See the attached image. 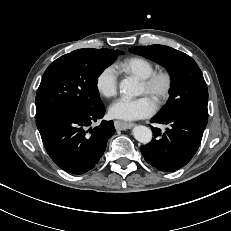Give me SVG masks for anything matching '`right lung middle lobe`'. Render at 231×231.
Wrapping results in <instances>:
<instances>
[{
	"mask_svg": "<svg viewBox=\"0 0 231 231\" xmlns=\"http://www.w3.org/2000/svg\"><path fill=\"white\" fill-rule=\"evenodd\" d=\"M121 51L84 48L56 59L46 69L36 94V119L59 111L87 113L103 106L99 75Z\"/></svg>",
	"mask_w": 231,
	"mask_h": 231,
	"instance_id": "dd1d6c3e",
	"label": "right lung middle lobe"
}]
</instances>
